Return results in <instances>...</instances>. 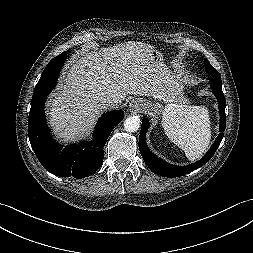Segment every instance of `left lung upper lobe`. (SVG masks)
Segmentation results:
<instances>
[{
    "mask_svg": "<svg viewBox=\"0 0 253 253\" xmlns=\"http://www.w3.org/2000/svg\"><path fill=\"white\" fill-rule=\"evenodd\" d=\"M205 69L206 71L211 74V75H219L218 71H216L212 66L211 64L208 62L207 59H205Z\"/></svg>",
    "mask_w": 253,
    "mask_h": 253,
    "instance_id": "left-lung-upper-lobe-1",
    "label": "left lung upper lobe"
}]
</instances>
